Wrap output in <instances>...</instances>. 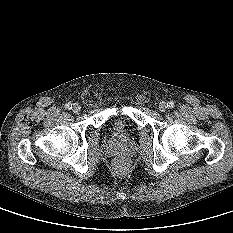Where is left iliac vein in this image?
<instances>
[{
	"mask_svg": "<svg viewBox=\"0 0 233 233\" xmlns=\"http://www.w3.org/2000/svg\"><path fill=\"white\" fill-rule=\"evenodd\" d=\"M159 110L161 111V112H165L166 110H167V104H166V102H160V104H159Z\"/></svg>",
	"mask_w": 233,
	"mask_h": 233,
	"instance_id": "obj_1",
	"label": "left iliac vein"
}]
</instances>
